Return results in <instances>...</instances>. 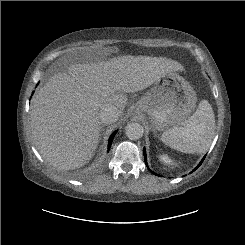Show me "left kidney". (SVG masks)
I'll return each mask as SVG.
<instances>
[{
    "label": "left kidney",
    "instance_id": "left-kidney-1",
    "mask_svg": "<svg viewBox=\"0 0 245 245\" xmlns=\"http://www.w3.org/2000/svg\"><path fill=\"white\" fill-rule=\"evenodd\" d=\"M161 160L164 161L167 164L171 163V160L168 158V156L162 155Z\"/></svg>",
    "mask_w": 245,
    "mask_h": 245
}]
</instances>
